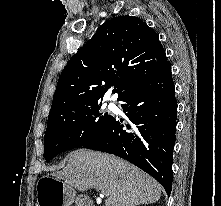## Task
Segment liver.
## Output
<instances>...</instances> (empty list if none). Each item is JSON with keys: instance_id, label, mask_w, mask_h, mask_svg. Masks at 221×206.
<instances>
[{"instance_id": "6515ba94", "label": "liver", "mask_w": 221, "mask_h": 206, "mask_svg": "<svg viewBox=\"0 0 221 206\" xmlns=\"http://www.w3.org/2000/svg\"><path fill=\"white\" fill-rule=\"evenodd\" d=\"M54 176L81 191L95 188L107 196L105 206H136L160 199L161 186L138 167L111 154L75 150Z\"/></svg>"}]
</instances>
